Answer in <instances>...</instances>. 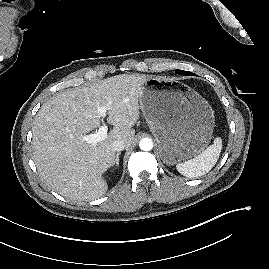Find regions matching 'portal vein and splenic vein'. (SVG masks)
I'll return each instance as SVG.
<instances>
[{"label": "portal vein and splenic vein", "mask_w": 269, "mask_h": 269, "mask_svg": "<svg viewBox=\"0 0 269 269\" xmlns=\"http://www.w3.org/2000/svg\"><path fill=\"white\" fill-rule=\"evenodd\" d=\"M97 112L100 114L101 117H106L107 108L106 107H98ZM108 127L107 125H102L99 130L94 134L84 135L81 136L83 141H86L93 146H96L98 142L103 141L107 137Z\"/></svg>", "instance_id": "18ae733b"}]
</instances>
